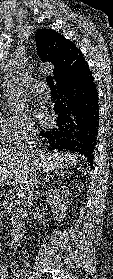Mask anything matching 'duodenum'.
I'll use <instances>...</instances> for the list:
<instances>
[{
  "instance_id": "1",
  "label": "duodenum",
  "mask_w": 113,
  "mask_h": 279,
  "mask_svg": "<svg viewBox=\"0 0 113 279\" xmlns=\"http://www.w3.org/2000/svg\"><path fill=\"white\" fill-rule=\"evenodd\" d=\"M24 228L22 225H16L11 230V240L13 243H19L21 239L23 238Z\"/></svg>"
}]
</instances>
